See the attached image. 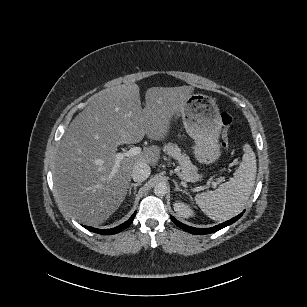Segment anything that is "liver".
<instances>
[{
	"label": "liver",
	"mask_w": 307,
	"mask_h": 307,
	"mask_svg": "<svg viewBox=\"0 0 307 307\" xmlns=\"http://www.w3.org/2000/svg\"><path fill=\"white\" fill-rule=\"evenodd\" d=\"M192 86L151 87L141 107L136 83L98 92L70 123L53 162V181L58 203L81 223L99 225L124 201L132 171L138 162L156 165L157 146L136 156L124 157L111 179L119 145L139 143L145 135L164 140L171 120L190 97Z\"/></svg>",
	"instance_id": "1"
}]
</instances>
